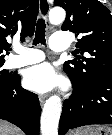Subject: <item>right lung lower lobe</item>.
Returning <instances> with one entry per match:
<instances>
[{
  "instance_id": "1",
  "label": "right lung lower lobe",
  "mask_w": 112,
  "mask_h": 135,
  "mask_svg": "<svg viewBox=\"0 0 112 135\" xmlns=\"http://www.w3.org/2000/svg\"><path fill=\"white\" fill-rule=\"evenodd\" d=\"M20 76L0 88V119L7 120L27 135H39L41 107L36 94L21 87Z\"/></svg>"
}]
</instances>
